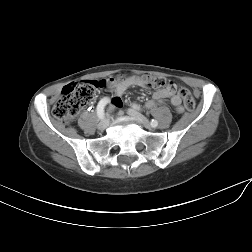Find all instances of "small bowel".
I'll return each mask as SVG.
<instances>
[{"label": "small bowel", "mask_w": 252, "mask_h": 252, "mask_svg": "<svg viewBox=\"0 0 252 252\" xmlns=\"http://www.w3.org/2000/svg\"><path fill=\"white\" fill-rule=\"evenodd\" d=\"M133 86L145 87V82L135 76H130L125 79L118 80L110 78L108 79L106 85L107 90L115 93L117 96L122 95L126 89ZM175 91L176 90L170 91L168 89L158 90L154 92L152 99L145 103V106L147 108H153L159 104H162L166 99H168L177 111H182L181 98L176 94ZM113 105L115 107H119L121 103L119 100L115 99L113 101Z\"/></svg>", "instance_id": "small-bowel-1"}]
</instances>
